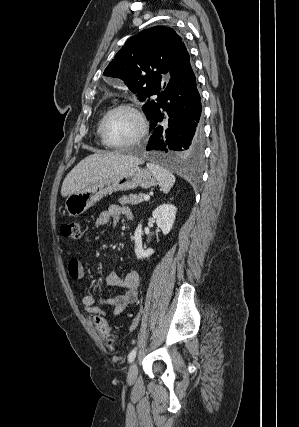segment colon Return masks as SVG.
I'll use <instances>...</instances> for the list:
<instances>
[{
    "label": "colon",
    "mask_w": 299,
    "mask_h": 427,
    "mask_svg": "<svg viewBox=\"0 0 299 427\" xmlns=\"http://www.w3.org/2000/svg\"><path fill=\"white\" fill-rule=\"evenodd\" d=\"M60 233L65 238L77 240L81 237L80 224L77 222L64 223L60 227ZM92 321L96 331L103 338V340H105L108 344H112L115 338L108 322L99 315H95L92 318Z\"/></svg>",
    "instance_id": "colon-1"
}]
</instances>
